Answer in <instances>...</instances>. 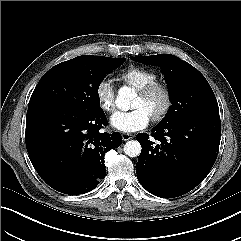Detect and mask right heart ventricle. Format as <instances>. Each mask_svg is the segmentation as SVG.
Masks as SVG:
<instances>
[{"mask_svg":"<svg viewBox=\"0 0 241 241\" xmlns=\"http://www.w3.org/2000/svg\"><path fill=\"white\" fill-rule=\"evenodd\" d=\"M120 78L126 84L136 90L157 81V74L150 69L138 66H132L120 74Z\"/></svg>","mask_w":241,"mask_h":241,"instance_id":"right-heart-ventricle-1","label":"right heart ventricle"}]
</instances>
